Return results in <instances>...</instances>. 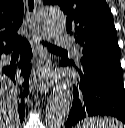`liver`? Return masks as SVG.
<instances>
[{
	"mask_svg": "<svg viewBox=\"0 0 125 128\" xmlns=\"http://www.w3.org/2000/svg\"><path fill=\"white\" fill-rule=\"evenodd\" d=\"M0 128H19L17 92L12 82L0 74Z\"/></svg>",
	"mask_w": 125,
	"mask_h": 128,
	"instance_id": "obj_1",
	"label": "liver"
}]
</instances>
